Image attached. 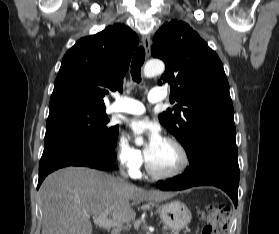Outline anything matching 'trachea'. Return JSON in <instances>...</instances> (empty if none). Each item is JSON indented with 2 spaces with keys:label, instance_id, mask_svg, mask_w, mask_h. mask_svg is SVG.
Segmentation results:
<instances>
[{
  "label": "trachea",
  "instance_id": "3493384b",
  "mask_svg": "<svg viewBox=\"0 0 279 234\" xmlns=\"http://www.w3.org/2000/svg\"><path fill=\"white\" fill-rule=\"evenodd\" d=\"M145 60V50L142 46H140L132 59V63H131V75H132V79L135 82H140L141 81V66L143 65Z\"/></svg>",
  "mask_w": 279,
  "mask_h": 234
}]
</instances>
